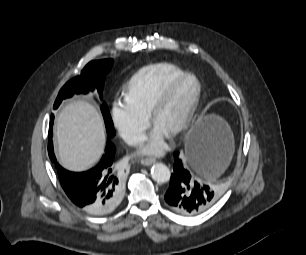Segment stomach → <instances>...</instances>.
I'll use <instances>...</instances> for the list:
<instances>
[{"instance_id":"stomach-1","label":"stomach","mask_w":306,"mask_h":255,"mask_svg":"<svg viewBox=\"0 0 306 255\" xmlns=\"http://www.w3.org/2000/svg\"><path fill=\"white\" fill-rule=\"evenodd\" d=\"M213 141L225 142L229 152L216 164L212 172L194 168L198 175L208 180L216 178L227 167L232 154V133L228 124L219 116L213 114L200 116L186 136L185 149L193 143L209 144Z\"/></svg>"}]
</instances>
